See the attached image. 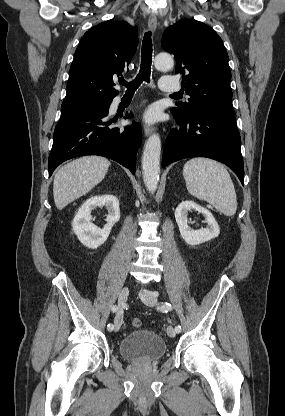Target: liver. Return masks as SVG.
I'll list each match as a JSON object with an SVG mask.
<instances>
[{
    "label": "liver",
    "instance_id": "6515ba94",
    "mask_svg": "<svg viewBox=\"0 0 285 416\" xmlns=\"http://www.w3.org/2000/svg\"><path fill=\"white\" fill-rule=\"evenodd\" d=\"M109 160L100 156H84L62 166L55 174L53 196L56 208L63 210L70 202L88 194L94 186L104 180Z\"/></svg>",
    "mask_w": 285,
    "mask_h": 416
}]
</instances>
